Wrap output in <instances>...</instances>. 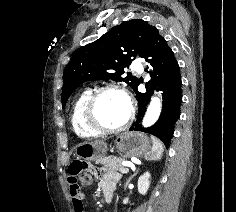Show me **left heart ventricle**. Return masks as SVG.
I'll return each mask as SVG.
<instances>
[{
    "mask_svg": "<svg viewBox=\"0 0 236 212\" xmlns=\"http://www.w3.org/2000/svg\"><path fill=\"white\" fill-rule=\"evenodd\" d=\"M128 112V103L125 97L118 91H106L98 98L96 117L103 127H119L126 120Z\"/></svg>",
    "mask_w": 236,
    "mask_h": 212,
    "instance_id": "1",
    "label": "left heart ventricle"
}]
</instances>
